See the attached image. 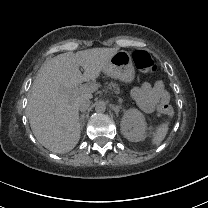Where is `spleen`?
Masks as SVG:
<instances>
[{
    "instance_id": "1",
    "label": "spleen",
    "mask_w": 208,
    "mask_h": 208,
    "mask_svg": "<svg viewBox=\"0 0 208 208\" xmlns=\"http://www.w3.org/2000/svg\"><path fill=\"white\" fill-rule=\"evenodd\" d=\"M169 131V122L162 121L154 126L153 130L149 133L150 143L154 147H158L166 138Z\"/></svg>"
}]
</instances>
